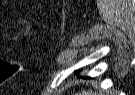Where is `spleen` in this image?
Wrapping results in <instances>:
<instances>
[{
  "label": "spleen",
  "mask_w": 135,
  "mask_h": 95,
  "mask_svg": "<svg viewBox=\"0 0 135 95\" xmlns=\"http://www.w3.org/2000/svg\"><path fill=\"white\" fill-rule=\"evenodd\" d=\"M79 95H96V94L92 93V91H83L82 93H79Z\"/></svg>",
  "instance_id": "spleen-1"
}]
</instances>
